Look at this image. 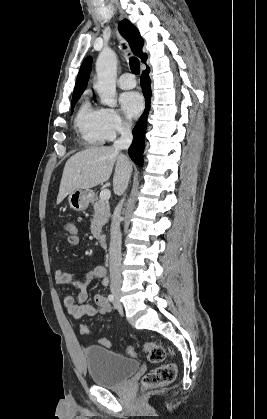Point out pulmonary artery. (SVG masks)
Instances as JSON below:
<instances>
[{"mask_svg":"<svg viewBox=\"0 0 267 419\" xmlns=\"http://www.w3.org/2000/svg\"><path fill=\"white\" fill-rule=\"evenodd\" d=\"M118 84L122 89H131L136 86V80L131 73H124L119 77Z\"/></svg>","mask_w":267,"mask_h":419,"instance_id":"1","label":"pulmonary artery"}]
</instances>
